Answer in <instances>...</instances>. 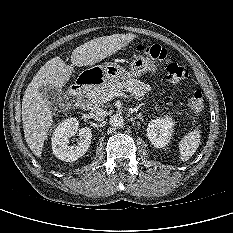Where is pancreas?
I'll list each match as a JSON object with an SVG mask.
<instances>
[{
    "label": "pancreas",
    "instance_id": "1",
    "mask_svg": "<svg viewBox=\"0 0 233 233\" xmlns=\"http://www.w3.org/2000/svg\"><path fill=\"white\" fill-rule=\"evenodd\" d=\"M120 90L129 92L137 99H143L151 90V87L137 79H128L124 82L110 81L93 86L84 93V96L92 105L98 106L106 102L104 99L105 93Z\"/></svg>",
    "mask_w": 233,
    "mask_h": 233
}]
</instances>
